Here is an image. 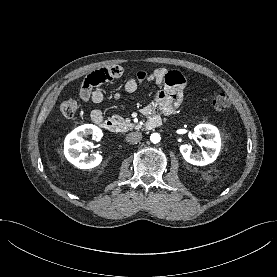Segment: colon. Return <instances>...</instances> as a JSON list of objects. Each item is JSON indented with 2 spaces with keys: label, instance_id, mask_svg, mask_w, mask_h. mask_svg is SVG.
Returning <instances> with one entry per match:
<instances>
[{
  "label": "colon",
  "instance_id": "1",
  "mask_svg": "<svg viewBox=\"0 0 277 277\" xmlns=\"http://www.w3.org/2000/svg\"><path fill=\"white\" fill-rule=\"evenodd\" d=\"M229 99L222 92H216L212 97V106L217 112H225L229 107ZM79 104L74 98L64 101L60 106L62 115L66 118H72L78 111Z\"/></svg>",
  "mask_w": 277,
  "mask_h": 277
}]
</instances>
